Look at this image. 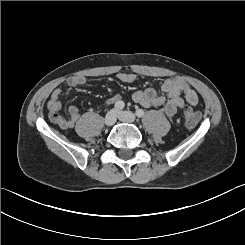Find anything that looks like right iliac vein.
<instances>
[{
  "mask_svg": "<svg viewBox=\"0 0 245 245\" xmlns=\"http://www.w3.org/2000/svg\"><path fill=\"white\" fill-rule=\"evenodd\" d=\"M116 110L111 109L105 116L104 123L106 126H112L116 122Z\"/></svg>",
  "mask_w": 245,
  "mask_h": 245,
  "instance_id": "right-iliac-vein-1",
  "label": "right iliac vein"
}]
</instances>
